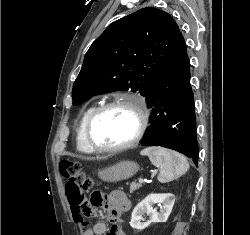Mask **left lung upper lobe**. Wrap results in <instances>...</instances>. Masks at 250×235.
I'll list each match as a JSON object with an SVG mask.
<instances>
[{"label":"left lung upper lobe","mask_w":250,"mask_h":235,"mask_svg":"<svg viewBox=\"0 0 250 235\" xmlns=\"http://www.w3.org/2000/svg\"><path fill=\"white\" fill-rule=\"evenodd\" d=\"M179 34L172 17L152 7L113 22L85 55L73 85V104L118 90L146 96Z\"/></svg>","instance_id":"obj_1"}]
</instances>
